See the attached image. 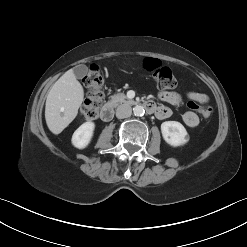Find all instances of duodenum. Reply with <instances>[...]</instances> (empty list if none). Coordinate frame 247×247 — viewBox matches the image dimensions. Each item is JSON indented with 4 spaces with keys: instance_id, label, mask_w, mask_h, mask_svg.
<instances>
[{
    "instance_id": "obj_1",
    "label": "duodenum",
    "mask_w": 247,
    "mask_h": 247,
    "mask_svg": "<svg viewBox=\"0 0 247 247\" xmlns=\"http://www.w3.org/2000/svg\"><path fill=\"white\" fill-rule=\"evenodd\" d=\"M144 107L146 108V110L148 112H151V113H155L158 110L157 107L155 106V104L153 102H149V101L144 103ZM113 114H114L113 105L112 104H106L101 111V118L103 121H109L112 119Z\"/></svg>"
}]
</instances>
